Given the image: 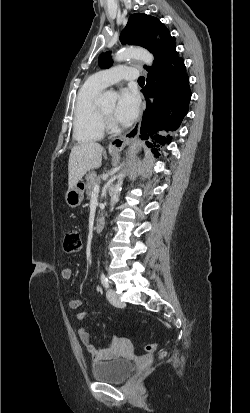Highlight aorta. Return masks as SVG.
<instances>
[{
    "mask_svg": "<svg viewBox=\"0 0 250 413\" xmlns=\"http://www.w3.org/2000/svg\"><path fill=\"white\" fill-rule=\"evenodd\" d=\"M129 59H136L140 60L148 66H151L154 60L153 55L144 48H127L122 49L114 56V60L118 62L126 61ZM116 101V94L112 91H106L101 97V103L103 105H111L114 104ZM124 174L120 173L118 176V182L115 185L113 195L110 200L111 209H113L114 205L119 199V194L122 189Z\"/></svg>",
    "mask_w": 250,
    "mask_h": 413,
    "instance_id": "obj_1",
    "label": "aorta"
}]
</instances>
